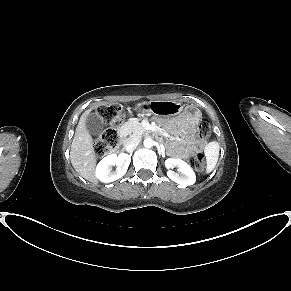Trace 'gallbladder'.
Listing matches in <instances>:
<instances>
[{"label":"gallbladder","instance_id":"gallbladder-1","mask_svg":"<svg viewBox=\"0 0 291 291\" xmlns=\"http://www.w3.org/2000/svg\"><path fill=\"white\" fill-rule=\"evenodd\" d=\"M86 128L94 136L99 135L104 130V122L98 113H91L86 118Z\"/></svg>","mask_w":291,"mask_h":291}]
</instances>
